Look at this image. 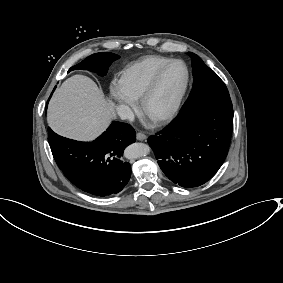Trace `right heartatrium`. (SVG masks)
<instances>
[{
  "label": "right heart atrium",
  "mask_w": 283,
  "mask_h": 283,
  "mask_svg": "<svg viewBox=\"0 0 283 283\" xmlns=\"http://www.w3.org/2000/svg\"><path fill=\"white\" fill-rule=\"evenodd\" d=\"M110 98L119 106L124 116H129L136 108V102L128 96L120 80H112L108 86Z\"/></svg>",
  "instance_id": "d8ad5b80"
}]
</instances>
